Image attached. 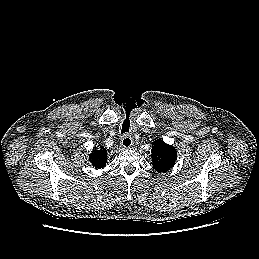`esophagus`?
Returning a JSON list of instances; mask_svg holds the SVG:
<instances>
[{"instance_id":"esophagus-1","label":"esophagus","mask_w":259,"mask_h":259,"mask_svg":"<svg viewBox=\"0 0 259 259\" xmlns=\"http://www.w3.org/2000/svg\"><path fill=\"white\" fill-rule=\"evenodd\" d=\"M121 146L125 149H130L133 147V140L129 136H125L121 140Z\"/></svg>"}]
</instances>
